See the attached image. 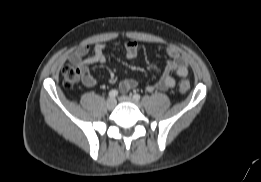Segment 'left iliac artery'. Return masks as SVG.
<instances>
[{
    "instance_id": "left-iliac-artery-1",
    "label": "left iliac artery",
    "mask_w": 261,
    "mask_h": 182,
    "mask_svg": "<svg viewBox=\"0 0 261 182\" xmlns=\"http://www.w3.org/2000/svg\"><path fill=\"white\" fill-rule=\"evenodd\" d=\"M140 98H141V96H140L139 94H136V93H135V94L133 95V99H135V100H137V101L140 100Z\"/></svg>"
}]
</instances>
